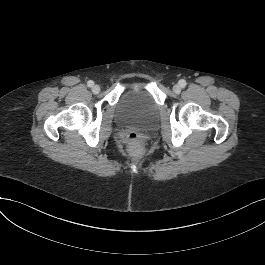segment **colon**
Instances as JSON below:
<instances>
[{"label": "colon", "instance_id": "5ec220e1", "mask_svg": "<svg viewBox=\"0 0 265 265\" xmlns=\"http://www.w3.org/2000/svg\"><path fill=\"white\" fill-rule=\"evenodd\" d=\"M123 139L127 141L130 146L131 150L134 154H140L141 147H140V139L141 135L135 131L127 132L123 135Z\"/></svg>", "mask_w": 265, "mask_h": 265}]
</instances>
